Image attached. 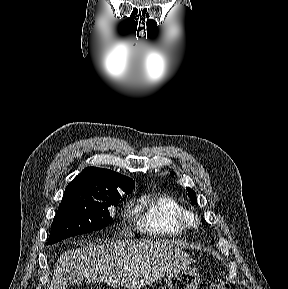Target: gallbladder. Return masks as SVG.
<instances>
[{"mask_svg": "<svg viewBox=\"0 0 288 289\" xmlns=\"http://www.w3.org/2000/svg\"><path fill=\"white\" fill-rule=\"evenodd\" d=\"M82 282H83L82 277L72 274V273L69 275V281H68L69 284H81Z\"/></svg>", "mask_w": 288, "mask_h": 289, "instance_id": "1", "label": "gallbladder"}]
</instances>
